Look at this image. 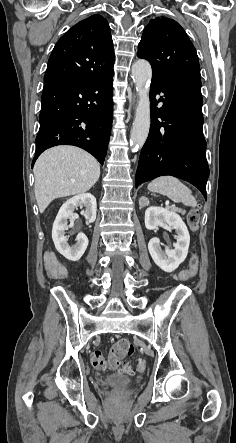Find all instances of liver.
Segmentation results:
<instances>
[{"label":"liver","mask_w":236,"mask_h":443,"mask_svg":"<svg viewBox=\"0 0 236 443\" xmlns=\"http://www.w3.org/2000/svg\"><path fill=\"white\" fill-rule=\"evenodd\" d=\"M35 197L40 213L56 198L83 194L100 176V165L86 151L74 146L46 150L34 165Z\"/></svg>","instance_id":"1"}]
</instances>
